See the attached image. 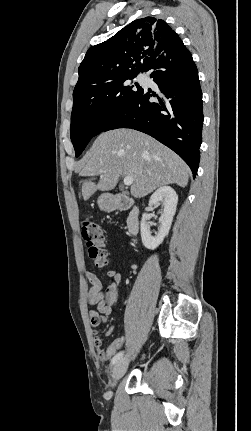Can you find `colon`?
<instances>
[{
    "label": "colon",
    "mask_w": 251,
    "mask_h": 431,
    "mask_svg": "<svg viewBox=\"0 0 251 431\" xmlns=\"http://www.w3.org/2000/svg\"><path fill=\"white\" fill-rule=\"evenodd\" d=\"M82 237L86 243L89 258L95 266L104 267L108 263V253L105 248V238L101 226L94 221H85L82 225ZM124 337H117L107 344L105 357L112 361L117 352L123 350Z\"/></svg>",
    "instance_id": "colon-1"
}]
</instances>
